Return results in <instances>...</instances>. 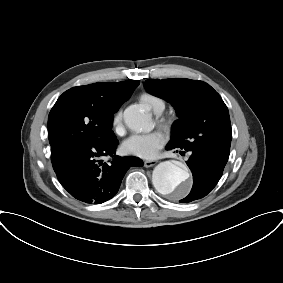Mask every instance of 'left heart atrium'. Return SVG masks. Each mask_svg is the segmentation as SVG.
<instances>
[{
  "label": "left heart atrium",
  "instance_id": "39dd6f15",
  "mask_svg": "<svg viewBox=\"0 0 283 283\" xmlns=\"http://www.w3.org/2000/svg\"><path fill=\"white\" fill-rule=\"evenodd\" d=\"M165 143V136L161 131L148 134H134L123 142L125 153L141 158L153 159Z\"/></svg>",
  "mask_w": 283,
  "mask_h": 283
}]
</instances>
